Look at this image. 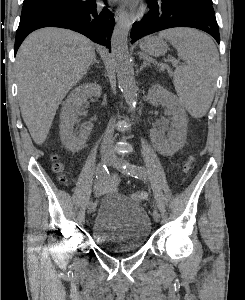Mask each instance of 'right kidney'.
I'll list each match as a JSON object with an SVG mask.
<instances>
[{"mask_svg":"<svg viewBox=\"0 0 245 300\" xmlns=\"http://www.w3.org/2000/svg\"><path fill=\"white\" fill-rule=\"evenodd\" d=\"M101 87L97 83H85L79 85L69 94L63 103L60 119V135L64 145L71 151H80L86 145L93 125L87 123L75 127L78 116L87 103L90 96L99 97Z\"/></svg>","mask_w":245,"mask_h":300,"instance_id":"right-kidney-1","label":"right kidney"}]
</instances>
